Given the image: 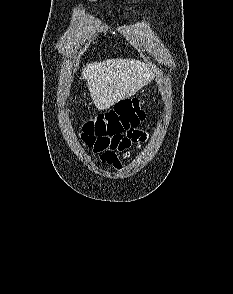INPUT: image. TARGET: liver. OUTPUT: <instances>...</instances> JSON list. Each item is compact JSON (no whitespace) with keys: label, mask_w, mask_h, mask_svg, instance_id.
I'll use <instances>...</instances> for the list:
<instances>
[{"label":"liver","mask_w":233,"mask_h":294,"mask_svg":"<svg viewBox=\"0 0 233 294\" xmlns=\"http://www.w3.org/2000/svg\"><path fill=\"white\" fill-rule=\"evenodd\" d=\"M155 72L153 66L139 60L107 59L88 63L82 69V79L95 107L104 110L135 95L153 80Z\"/></svg>","instance_id":"6515ba94"}]
</instances>
